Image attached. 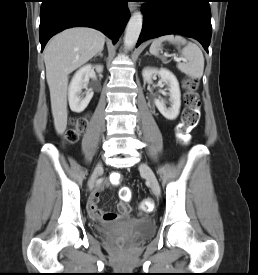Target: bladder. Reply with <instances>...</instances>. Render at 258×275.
Instances as JSON below:
<instances>
[{
	"label": "bladder",
	"instance_id": "bladder-1",
	"mask_svg": "<svg viewBox=\"0 0 258 275\" xmlns=\"http://www.w3.org/2000/svg\"><path fill=\"white\" fill-rule=\"evenodd\" d=\"M116 228H125L137 238H146L154 232V221L150 218L139 219L126 215L118 220H107L99 225V231L104 234Z\"/></svg>",
	"mask_w": 258,
	"mask_h": 275
}]
</instances>
